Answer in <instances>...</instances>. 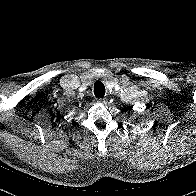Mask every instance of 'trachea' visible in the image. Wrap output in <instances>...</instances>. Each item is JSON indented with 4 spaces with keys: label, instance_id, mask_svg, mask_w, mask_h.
<instances>
[{
    "label": "trachea",
    "instance_id": "3493384b",
    "mask_svg": "<svg viewBox=\"0 0 196 196\" xmlns=\"http://www.w3.org/2000/svg\"><path fill=\"white\" fill-rule=\"evenodd\" d=\"M94 94L96 97H103L105 95V86L101 81H96L94 84Z\"/></svg>",
    "mask_w": 196,
    "mask_h": 196
}]
</instances>
